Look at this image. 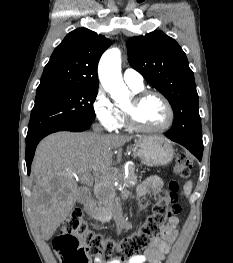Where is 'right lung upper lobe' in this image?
<instances>
[{
  "label": "right lung upper lobe",
  "mask_w": 233,
  "mask_h": 263,
  "mask_svg": "<svg viewBox=\"0 0 233 263\" xmlns=\"http://www.w3.org/2000/svg\"><path fill=\"white\" fill-rule=\"evenodd\" d=\"M111 42L86 29L64 38L45 66L36 95L76 87H98L97 66Z\"/></svg>",
  "instance_id": "1"
}]
</instances>
